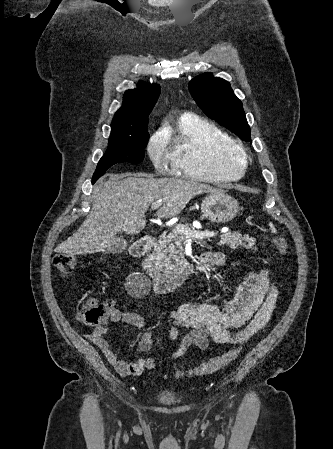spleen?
I'll use <instances>...</instances> for the list:
<instances>
[{"mask_svg":"<svg viewBox=\"0 0 333 449\" xmlns=\"http://www.w3.org/2000/svg\"><path fill=\"white\" fill-rule=\"evenodd\" d=\"M271 229H272V230H275V229H274V226H273L272 224H271Z\"/></svg>","mask_w":333,"mask_h":449,"instance_id":"spleen-1","label":"spleen"}]
</instances>
